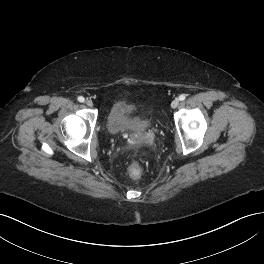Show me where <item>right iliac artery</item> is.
I'll use <instances>...</instances> for the list:
<instances>
[{"label": "right iliac artery", "instance_id": "right-iliac-artery-1", "mask_svg": "<svg viewBox=\"0 0 264 264\" xmlns=\"http://www.w3.org/2000/svg\"><path fill=\"white\" fill-rule=\"evenodd\" d=\"M84 100H85V99H84L83 96H79V97H78V101H79V102H84Z\"/></svg>", "mask_w": 264, "mask_h": 264}]
</instances>
